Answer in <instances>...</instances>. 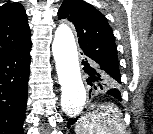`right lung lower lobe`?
Segmentation results:
<instances>
[{
  "instance_id": "98d812e1",
  "label": "right lung lower lobe",
  "mask_w": 153,
  "mask_h": 134,
  "mask_svg": "<svg viewBox=\"0 0 153 134\" xmlns=\"http://www.w3.org/2000/svg\"><path fill=\"white\" fill-rule=\"evenodd\" d=\"M31 44L0 57V134H23Z\"/></svg>"
}]
</instances>
